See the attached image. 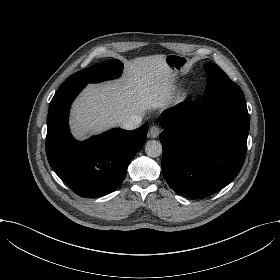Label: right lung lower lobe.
Masks as SVG:
<instances>
[{"label": "right lung lower lobe", "mask_w": 280, "mask_h": 280, "mask_svg": "<svg viewBox=\"0 0 280 280\" xmlns=\"http://www.w3.org/2000/svg\"><path fill=\"white\" fill-rule=\"evenodd\" d=\"M86 85L64 82L56 91L47 116L46 154L54 172L77 195L95 198L122 184L128 165L146 141L148 125L76 141L68 127L69 108Z\"/></svg>", "instance_id": "1"}]
</instances>
